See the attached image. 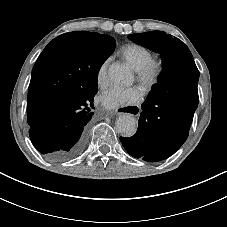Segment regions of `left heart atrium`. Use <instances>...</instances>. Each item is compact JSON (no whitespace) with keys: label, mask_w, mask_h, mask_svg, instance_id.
Instances as JSON below:
<instances>
[{"label":"left heart atrium","mask_w":227,"mask_h":227,"mask_svg":"<svg viewBox=\"0 0 227 227\" xmlns=\"http://www.w3.org/2000/svg\"><path fill=\"white\" fill-rule=\"evenodd\" d=\"M145 97L141 87H112L101 96V103L108 109L126 108L140 104Z\"/></svg>","instance_id":"obj_1"}]
</instances>
